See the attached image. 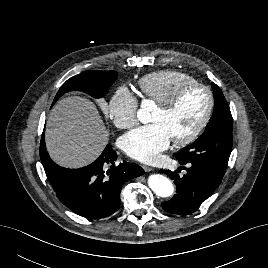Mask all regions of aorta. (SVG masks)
Returning <instances> with one entry per match:
<instances>
[{
	"mask_svg": "<svg viewBox=\"0 0 268 268\" xmlns=\"http://www.w3.org/2000/svg\"><path fill=\"white\" fill-rule=\"evenodd\" d=\"M150 102L145 100L141 104V108L137 112L138 120L147 124L151 120L149 113ZM148 186L150 189L160 197H169L174 193L173 183L165 176L161 174H152L148 177Z\"/></svg>",
	"mask_w": 268,
	"mask_h": 268,
	"instance_id": "762f6f07",
	"label": "aorta"
}]
</instances>
